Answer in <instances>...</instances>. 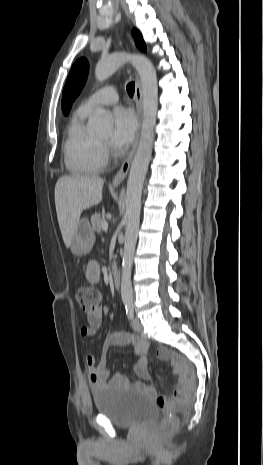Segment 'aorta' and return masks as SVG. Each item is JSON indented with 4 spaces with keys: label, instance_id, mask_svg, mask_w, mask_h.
<instances>
[{
    "label": "aorta",
    "instance_id": "aorta-1",
    "mask_svg": "<svg viewBox=\"0 0 263 465\" xmlns=\"http://www.w3.org/2000/svg\"><path fill=\"white\" fill-rule=\"evenodd\" d=\"M130 62L138 71L143 101V122L139 145L132 162L126 189V229L122 262L121 298L132 303L131 269L138 237L141 196L145 175L151 159L154 129L158 109V85L156 70L152 62L143 55L117 52L101 59L95 67L98 81L109 78L119 67ZM90 127L96 133H108L112 129L110 114L97 108L90 120Z\"/></svg>",
    "mask_w": 263,
    "mask_h": 465
}]
</instances>
